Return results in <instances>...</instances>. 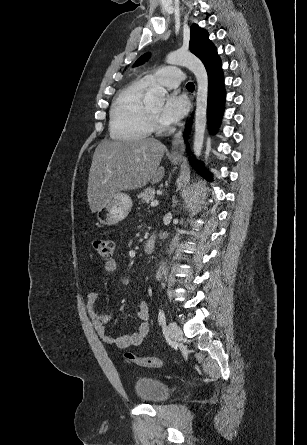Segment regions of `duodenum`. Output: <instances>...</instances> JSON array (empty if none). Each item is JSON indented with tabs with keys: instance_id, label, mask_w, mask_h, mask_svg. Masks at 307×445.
<instances>
[{
	"instance_id": "410a0bca",
	"label": "duodenum",
	"mask_w": 307,
	"mask_h": 445,
	"mask_svg": "<svg viewBox=\"0 0 307 445\" xmlns=\"http://www.w3.org/2000/svg\"><path fill=\"white\" fill-rule=\"evenodd\" d=\"M155 247H156V236L151 235L144 245V252L146 254H151L155 250Z\"/></svg>"
}]
</instances>
